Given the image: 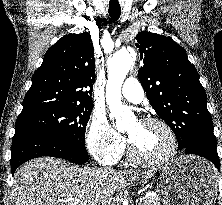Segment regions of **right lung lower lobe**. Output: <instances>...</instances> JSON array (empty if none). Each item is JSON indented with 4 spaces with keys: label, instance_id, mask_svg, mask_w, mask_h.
Listing matches in <instances>:
<instances>
[{
    "label": "right lung lower lobe",
    "instance_id": "right-lung-lower-lobe-1",
    "mask_svg": "<svg viewBox=\"0 0 222 205\" xmlns=\"http://www.w3.org/2000/svg\"><path fill=\"white\" fill-rule=\"evenodd\" d=\"M11 172L24 162L41 156L66 159L75 164L89 160L85 148L42 132H17L12 140Z\"/></svg>",
    "mask_w": 222,
    "mask_h": 205
}]
</instances>
